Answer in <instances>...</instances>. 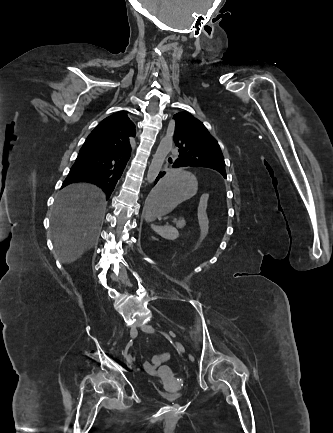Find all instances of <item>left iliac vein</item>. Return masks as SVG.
Here are the masks:
<instances>
[{
  "instance_id": "obj_1",
  "label": "left iliac vein",
  "mask_w": 333,
  "mask_h": 433,
  "mask_svg": "<svg viewBox=\"0 0 333 433\" xmlns=\"http://www.w3.org/2000/svg\"><path fill=\"white\" fill-rule=\"evenodd\" d=\"M142 331L147 332V333H154L155 330L151 325L148 324H144L141 326ZM176 348L180 353H184L185 352V348L184 346L180 343V342H176Z\"/></svg>"
}]
</instances>
